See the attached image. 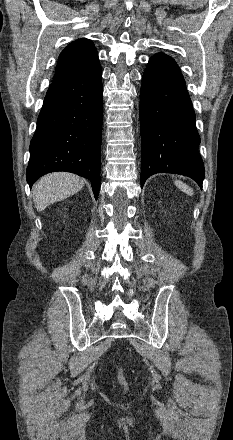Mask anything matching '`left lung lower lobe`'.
Listing matches in <instances>:
<instances>
[{"label": "left lung lower lobe", "mask_w": 233, "mask_h": 440, "mask_svg": "<svg viewBox=\"0 0 233 440\" xmlns=\"http://www.w3.org/2000/svg\"><path fill=\"white\" fill-rule=\"evenodd\" d=\"M141 187L156 173L185 175L200 187L204 165L195 113L177 63L163 53L150 58L140 92Z\"/></svg>", "instance_id": "1"}]
</instances>
